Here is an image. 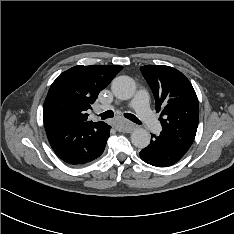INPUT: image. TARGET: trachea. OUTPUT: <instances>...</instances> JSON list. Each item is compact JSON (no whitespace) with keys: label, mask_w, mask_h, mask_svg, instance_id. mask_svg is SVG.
<instances>
[{"label":"trachea","mask_w":234,"mask_h":234,"mask_svg":"<svg viewBox=\"0 0 234 234\" xmlns=\"http://www.w3.org/2000/svg\"><path fill=\"white\" fill-rule=\"evenodd\" d=\"M99 116H100L101 119H103V120L108 119V118H112V117H113V111L108 110V111H106V112H104V113H101ZM124 116H125L127 119L131 120L132 122H134V123H136V124H142L141 121H140L135 115H133V114L126 113V114H124Z\"/></svg>","instance_id":"trachea-1"}]
</instances>
